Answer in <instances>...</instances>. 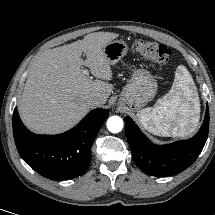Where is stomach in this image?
<instances>
[{"instance_id":"stomach-1","label":"stomach","mask_w":215,"mask_h":215,"mask_svg":"<svg viewBox=\"0 0 215 215\" xmlns=\"http://www.w3.org/2000/svg\"><path fill=\"white\" fill-rule=\"evenodd\" d=\"M128 52V46L123 40H115L106 44L103 53L111 65H115ZM157 92V82L146 69H133L132 76L123 88L119 105L132 111H138L152 100Z\"/></svg>"}]
</instances>
